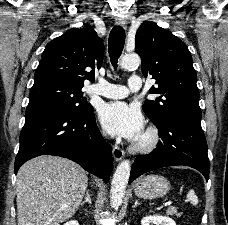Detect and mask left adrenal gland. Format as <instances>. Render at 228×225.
I'll list each match as a JSON object with an SVG mask.
<instances>
[{
    "label": "left adrenal gland",
    "mask_w": 228,
    "mask_h": 225,
    "mask_svg": "<svg viewBox=\"0 0 228 225\" xmlns=\"http://www.w3.org/2000/svg\"><path fill=\"white\" fill-rule=\"evenodd\" d=\"M137 205H141V203H138V201H135V203L133 205V209H135V207H137Z\"/></svg>",
    "instance_id": "left-adrenal-gland-1"
}]
</instances>
